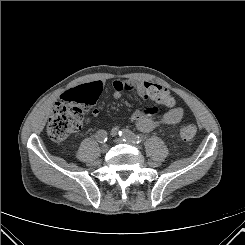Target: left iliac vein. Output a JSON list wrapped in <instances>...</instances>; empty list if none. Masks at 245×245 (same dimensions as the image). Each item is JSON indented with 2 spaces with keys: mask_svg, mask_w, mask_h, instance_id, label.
<instances>
[{
  "mask_svg": "<svg viewBox=\"0 0 245 245\" xmlns=\"http://www.w3.org/2000/svg\"><path fill=\"white\" fill-rule=\"evenodd\" d=\"M115 142L116 143H127V144H129V145H132V146H134V147H136V148H140V146L137 144V143H135V142H132L131 140H127V141H123L121 138H117L116 140H115Z\"/></svg>",
  "mask_w": 245,
  "mask_h": 245,
  "instance_id": "obj_1",
  "label": "left iliac vein"
}]
</instances>
